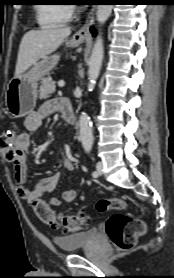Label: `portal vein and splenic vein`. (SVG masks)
Returning a JSON list of instances; mask_svg holds the SVG:
<instances>
[{
    "label": "portal vein and splenic vein",
    "instance_id": "1",
    "mask_svg": "<svg viewBox=\"0 0 174 278\" xmlns=\"http://www.w3.org/2000/svg\"><path fill=\"white\" fill-rule=\"evenodd\" d=\"M64 85H65L64 81H60V82L58 83V86H59V87H64Z\"/></svg>",
    "mask_w": 174,
    "mask_h": 278
}]
</instances>
